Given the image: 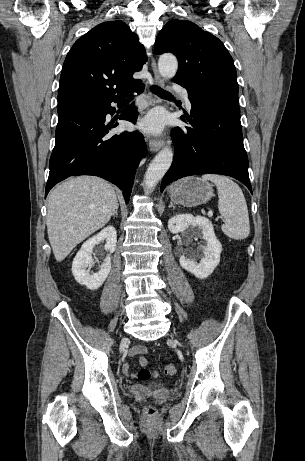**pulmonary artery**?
I'll list each match as a JSON object with an SVG mask.
<instances>
[{
	"mask_svg": "<svg viewBox=\"0 0 305 461\" xmlns=\"http://www.w3.org/2000/svg\"><path fill=\"white\" fill-rule=\"evenodd\" d=\"M176 90L180 93V95L182 96V98L184 99L185 103H186V106L188 108L191 107V102H190V99H189V95H188V92L186 89L184 88H181V87H178L176 88Z\"/></svg>",
	"mask_w": 305,
	"mask_h": 461,
	"instance_id": "obj_1",
	"label": "pulmonary artery"
}]
</instances>
